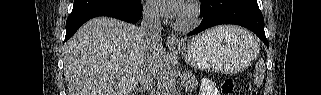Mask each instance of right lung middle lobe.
<instances>
[{
	"label": "right lung middle lobe",
	"instance_id": "dd1d6c3e",
	"mask_svg": "<svg viewBox=\"0 0 321 95\" xmlns=\"http://www.w3.org/2000/svg\"><path fill=\"white\" fill-rule=\"evenodd\" d=\"M141 5L140 0H74L72 12L94 9L130 11Z\"/></svg>",
	"mask_w": 321,
	"mask_h": 95
}]
</instances>
